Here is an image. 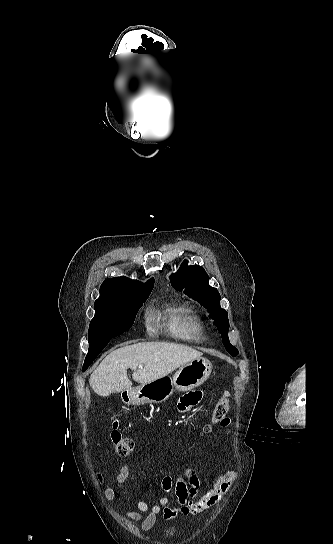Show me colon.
Returning a JSON list of instances; mask_svg holds the SVG:
<instances>
[{
  "instance_id": "1",
  "label": "colon",
  "mask_w": 333,
  "mask_h": 544,
  "mask_svg": "<svg viewBox=\"0 0 333 544\" xmlns=\"http://www.w3.org/2000/svg\"><path fill=\"white\" fill-rule=\"evenodd\" d=\"M229 408L230 395L226 392L222 398L216 402L211 414L210 424L207 425L206 429H210L212 424L221 422L225 418ZM110 437L118 455L126 456L132 452L134 442L131 438L123 435L118 421L113 423Z\"/></svg>"
}]
</instances>
